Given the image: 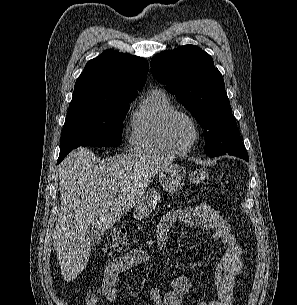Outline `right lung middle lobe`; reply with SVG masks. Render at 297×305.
Here are the masks:
<instances>
[{
    "mask_svg": "<svg viewBox=\"0 0 297 305\" xmlns=\"http://www.w3.org/2000/svg\"><path fill=\"white\" fill-rule=\"evenodd\" d=\"M136 96L110 102L69 106L60 141V155L79 146L115 147L121 144L122 123Z\"/></svg>",
    "mask_w": 297,
    "mask_h": 305,
    "instance_id": "right-lung-middle-lobe-1",
    "label": "right lung middle lobe"
}]
</instances>
